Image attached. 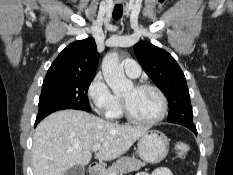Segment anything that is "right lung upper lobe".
<instances>
[{
	"label": "right lung upper lobe",
	"instance_id": "right-lung-upper-lobe-1",
	"mask_svg": "<svg viewBox=\"0 0 233 175\" xmlns=\"http://www.w3.org/2000/svg\"><path fill=\"white\" fill-rule=\"evenodd\" d=\"M99 54L93 38L71 43L50 66L45 79L72 76H94Z\"/></svg>",
	"mask_w": 233,
	"mask_h": 175
}]
</instances>
